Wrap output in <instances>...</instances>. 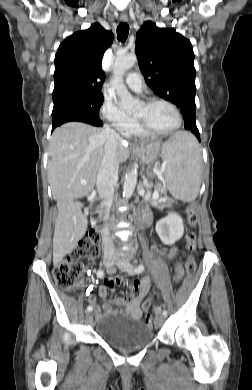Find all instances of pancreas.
<instances>
[{
    "mask_svg": "<svg viewBox=\"0 0 252 390\" xmlns=\"http://www.w3.org/2000/svg\"><path fill=\"white\" fill-rule=\"evenodd\" d=\"M157 203H158L157 208L164 209L166 207H171L172 204L174 203V200L170 198L169 202H157Z\"/></svg>",
    "mask_w": 252,
    "mask_h": 390,
    "instance_id": "1",
    "label": "pancreas"
}]
</instances>
